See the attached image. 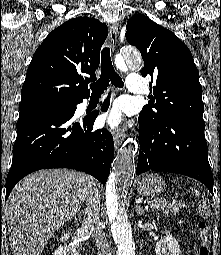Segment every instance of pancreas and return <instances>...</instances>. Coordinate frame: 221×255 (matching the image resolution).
<instances>
[{"instance_id":"1","label":"pancreas","mask_w":221,"mask_h":255,"mask_svg":"<svg viewBox=\"0 0 221 255\" xmlns=\"http://www.w3.org/2000/svg\"><path fill=\"white\" fill-rule=\"evenodd\" d=\"M149 203L152 208L162 211L165 214L169 212L177 214L184 206L182 202H167L163 198H156Z\"/></svg>"}]
</instances>
